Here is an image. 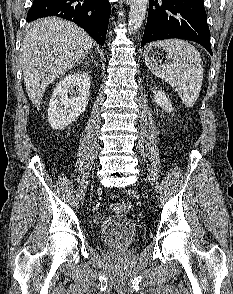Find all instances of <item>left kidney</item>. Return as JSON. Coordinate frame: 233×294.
I'll list each match as a JSON object with an SVG mask.
<instances>
[{"label": "left kidney", "instance_id": "5707ae66", "mask_svg": "<svg viewBox=\"0 0 233 294\" xmlns=\"http://www.w3.org/2000/svg\"><path fill=\"white\" fill-rule=\"evenodd\" d=\"M154 99L158 106L167 112L173 110L172 103L169 98L161 90H153Z\"/></svg>", "mask_w": 233, "mask_h": 294}]
</instances>
